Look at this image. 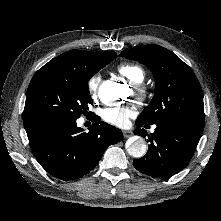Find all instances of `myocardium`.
I'll use <instances>...</instances> for the list:
<instances>
[{
  "instance_id": "1",
  "label": "myocardium",
  "mask_w": 221,
  "mask_h": 221,
  "mask_svg": "<svg viewBox=\"0 0 221 221\" xmlns=\"http://www.w3.org/2000/svg\"><path fill=\"white\" fill-rule=\"evenodd\" d=\"M133 90L138 99L144 100L146 98L147 89L142 83H133Z\"/></svg>"
}]
</instances>
